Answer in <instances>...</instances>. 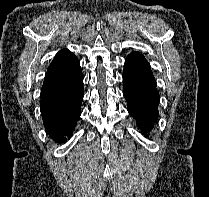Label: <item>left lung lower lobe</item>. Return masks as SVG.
Instances as JSON below:
<instances>
[{"mask_svg": "<svg viewBox=\"0 0 209 197\" xmlns=\"http://www.w3.org/2000/svg\"><path fill=\"white\" fill-rule=\"evenodd\" d=\"M123 94L128 112L146 135L159 116L157 105L160 97L150 65L139 52L130 53L125 60Z\"/></svg>", "mask_w": 209, "mask_h": 197, "instance_id": "0a47b994", "label": "left lung lower lobe"}]
</instances>
